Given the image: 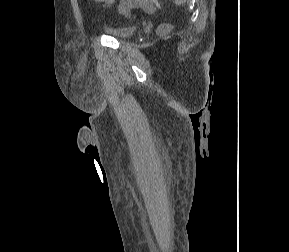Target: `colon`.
Returning a JSON list of instances; mask_svg holds the SVG:
<instances>
[{"mask_svg": "<svg viewBox=\"0 0 289 252\" xmlns=\"http://www.w3.org/2000/svg\"><path fill=\"white\" fill-rule=\"evenodd\" d=\"M140 7L146 12H152L153 11V4L151 0H121V2L118 5V10L122 14H128L129 11L133 8ZM167 28L161 27L160 33H166Z\"/></svg>", "mask_w": 289, "mask_h": 252, "instance_id": "1", "label": "colon"}]
</instances>
